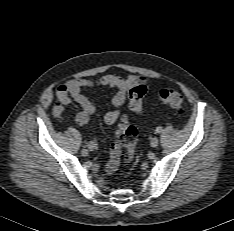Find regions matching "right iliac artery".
Returning a JSON list of instances; mask_svg holds the SVG:
<instances>
[{"label":"right iliac artery","instance_id":"obj_1","mask_svg":"<svg viewBox=\"0 0 234 231\" xmlns=\"http://www.w3.org/2000/svg\"><path fill=\"white\" fill-rule=\"evenodd\" d=\"M88 148L90 149V151H93V150L97 149V144L93 141H90L88 144Z\"/></svg>","mask_w":234,"mask_h":231}]
</instances>
